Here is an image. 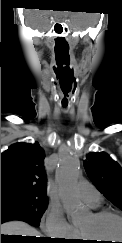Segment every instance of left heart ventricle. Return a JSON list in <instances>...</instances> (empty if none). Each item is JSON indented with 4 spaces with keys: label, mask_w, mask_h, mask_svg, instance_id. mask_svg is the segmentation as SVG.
Instances as JSON below:
<instances>
[{
    "label": "left heart ventricle",
    "mask_w": 122,
    "mask_h": 243,
    "mask_svg": "<svg viewBox=\"0 0 122 243\" xmlns=\"http://www.w3.org/2000/svg\"><path fill=\"white\" fill-rule=\"evenodd\" d=\"M78 227L90 237L103 240L96 241L99 243H112L108 240L122 238V221L115 217L96 220L90 214Z\"/></svg>",
    "instance_id": "1"
}]
</instances>
